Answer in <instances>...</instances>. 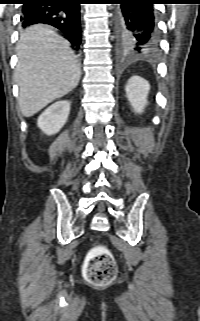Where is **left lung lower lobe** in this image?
I'll return each instance as SVG.
<instances>
[{
	"label": "left lung lower lobe",
	"mask_w": 200,
	"mask_h": 321,
	"mask_svg": "<svg viewBox=\"0 0 200 321\" xmlns=\"http://www.w3.org/2000/svg\"><path fill=\"white\" fill-rule=\"evenodd\" d=\"M160 0H115V27L119 50L151 54L157 50L153 4Z\"/></svg>",
	"instance_id": "obj_1"
}]
</instances>
